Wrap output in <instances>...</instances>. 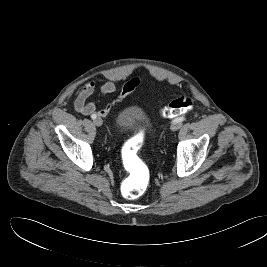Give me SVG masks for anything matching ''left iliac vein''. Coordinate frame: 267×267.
Wrapping results in <instances>:
<instances>
[{"mask_svg":"<svg viewBox=\"0 0 267 267\" xmlns=\"http://www.w3.org/2000/svg\"><path fill=\"white\" fill-rule=\"evenodd\" d=\"M181 126H182L181 122H172L170 129L172 131H177L178 129L181 128Z\"/></svg>","mask_w":267,"mask_h":267,"instance_id":"left-iliac-vein-1","label":"left iliac vein"}]
</instances>
